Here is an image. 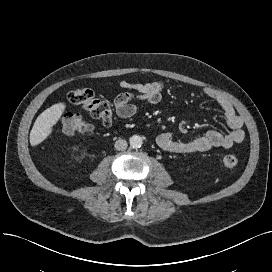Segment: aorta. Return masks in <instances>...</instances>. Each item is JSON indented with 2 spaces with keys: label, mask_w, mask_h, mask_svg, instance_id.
<instances>
[{
  "label": "aorta",
  "mask_w": 272,
  "mask_h": 272,
  "mask_svg": "<svg viewBox=\"0 0 272 272\" xmlns=\"http://www.w3.org/2000/svg\"><path fill=\"white\" fill-rule=\"evenodd\" d=\"M129 143L132 148H140L143 144V140L141 136L133 135L130 137Z\"/></svg>",
  "instance_id": "obj_1"
}]
</instances>
